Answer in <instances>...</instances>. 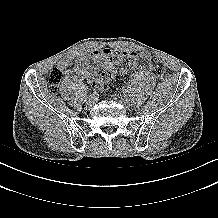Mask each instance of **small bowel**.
Returning <instances> with one entry per match:
<instances>
[{
	"mask_svg": "<svg viewBox=\"0 0 218 218\" xmlns=\"http://www.w3.org/2000/svg\"><path fill=\"white\" fill-rule=\"evenodd\" d=\"M139 58V55L135 52L120 50V49H110L104 48L100 50H94L89 53L83 52H73L70 55L59 60L57 67L62 72H69L72 61H74L73 71L79 75L85 76L92 83L95 82L96 70H107L108 68L114 66V64H120L126 62L125 67L128 66V72L135 66L129 65V60L133 57ZM147 55L143 54L142 57ZM94 60L96 65L93 66L91 61Z\"/></svg>",
	"mask_w": 218,
	"mask_h": 218,
	"instance_id": "small-bowel-1",
	"label": "small bowel"
}]
</instances>
